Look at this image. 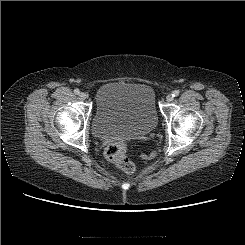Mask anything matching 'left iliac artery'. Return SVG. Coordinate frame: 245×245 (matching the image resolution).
I'll return each instance as SVG.
<instances>
[{
	"label": "left iliac artery",
	"instance_id": "obj_1",
	"mask_svg": "<svg viewBox=\"0 0 245 245\" xmlns=\"http://www.w3.org/2000/svg\"><path fill=\"white\" fill-rule=\"evenodd\" d=\"M179 94H180V91H179V90H175V91H173V93H172V95H173L174 97L178 96Z\"/></svg>",
	"mask_w": 245,
	"mask_h": 245
}]
</instances>
